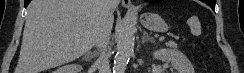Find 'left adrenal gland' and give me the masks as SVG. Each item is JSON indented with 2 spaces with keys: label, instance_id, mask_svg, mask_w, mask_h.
<instances>
[{
  "label": "left adrenal gland",
  "instance_id": "1",
  "mask_svg": "<svg viewBox=\"0 0 244 73\" xmlns=\"http://www.w3.org/2000/svg\"><path fill=\"white\" fill-rule=\"evenodd\" d=\"M147 41H150L151 43L155 42L153 38L149 37L146 31H143L142 43H146Z\"/></svg>",
  "mask_w": 244,
  "mask_h": 73
}]
</instances>
